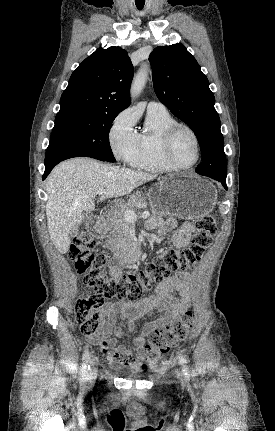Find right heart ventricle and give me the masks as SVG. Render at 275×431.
<instances>
[{
    "instance_id": "obj_1",
    "label": "right heart ventricle",
    "mask_w": 275,
    "mask_h": 431,
    "mask_svg": "<svg viewBox=\"0 0 275 431\" xmlns=\"http://www.w3.org/2000/svg\"><path fill=\"white\" fill-rule=\"evenodd\" d=\"M176 123L167 110H148L144 128L138 133V153L131 165L155 173L175 170L162 155V138L166 130Z\"/></svg>"
}]
</instances>
